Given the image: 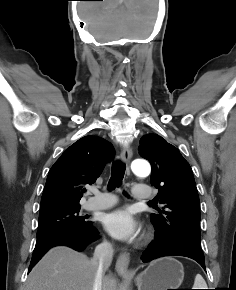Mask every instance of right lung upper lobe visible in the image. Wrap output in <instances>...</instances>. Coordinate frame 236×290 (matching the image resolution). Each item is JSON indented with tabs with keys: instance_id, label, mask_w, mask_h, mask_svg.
<instances>
[{
	"instance_id": "cb5924a9",
	"label": "right lung upper lobe",
	"mask_w": 236,
	"mask_h": 290,
	"mask_svg": "<svg viewBox=\"0 0 236 290\" xmlns=\"http://www.w3.org/2000/svg\"><path fill=\"white\" fill-rule=\"evenodd\" d=\"M114 157L107 140L85 136L76 141L51 167L41 199V210L80 205L86 184H93Z\"/></svg>"
}]
</instances>
